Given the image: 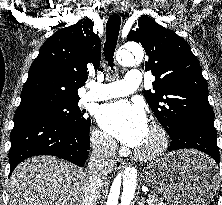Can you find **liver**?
I'll use <instances>...</instances> for the list:
<instances>
[{
  "instance_id": "obj_1",
  "label": "liver",
  "mask_w": 222,
  "mask_h": 205,
  "mask_svg": "<svg viewBox=\"0 0 222 205\" xmlns=\"http://www.w3.org/2000/svg\"><path fill=\"white\" fill-rule=\"evenodd\" d=\"M87 184L82 168L54 156H35L11 174L8 205H82Z\"/></svg>"
}]
</instances>
